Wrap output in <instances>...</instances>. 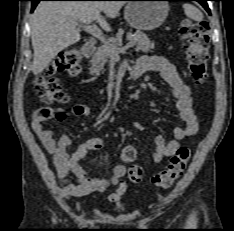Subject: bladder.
I'll return each instance as SVG.
<instances>
[{
	"mask_svg": "<svg viewBox=\"0 0 234 231\" xmlns=\"http://www.w3.org/2000/svg\"><path fill=\"white\" fill-rule=\"evenodd\" d=\"M126 207H127L126 203H120L117 205L116 209L123 210V209H126Z\"/></svg>",
	"mask_w": 234,
	"mask_h": 231,
	"instance_id": "bladder-1",
	"label": "bladder"
}]
</instances>
